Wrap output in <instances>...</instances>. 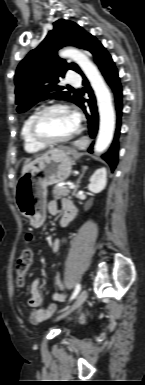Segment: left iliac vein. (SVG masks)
Segmentation results:
<instances>
[{
    "mask_svg": "<svg viewBox=\"0 0 145 385\" xmlns=\"http://www.w3.org/2000/svg\"><path fill=\"white\" fill-rule=\"evenodd\" d=\"M87 297H88V292L86 289H83L77 296L74 304L70 308H68L59 318H62L68 315L69 313H71L72 311H74L75 309L79 308L86 301Z\"/></svg>",
    "mask_w": 145,
    "mask_h": 385,
    "instance_id": "obj_1",
    "label": "left iliac vein"
}]
</instances>
